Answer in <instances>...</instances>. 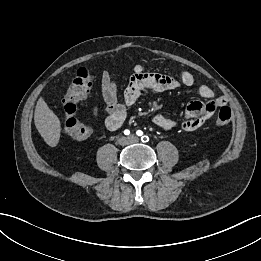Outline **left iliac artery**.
Here are the masks:
<instances>
[{
	"instance_id": "left-iliac-artery-1",
	"label": "left iliac artery",
	"mask_w": 261,
	"mask_h": 261,
	"mask_svg": "<svg viewBox=\"0 0 261 261\" xmlns=\"http://www.w3.org/2000/svg\"><path fill=\"white\" fill-rule=\"evenodd\" d=\"M136 134H137L138 136H142V135H143V132H142L141 130H138V131L136 132ZM141 140H142V142H148V141H149V137H148V136H142V137H141Z\"/></svg>"
}]
</instances>
